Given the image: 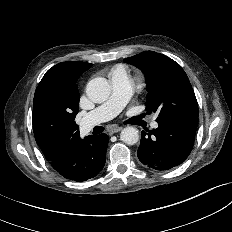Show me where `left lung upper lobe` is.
<instances>
[{"instance_id":"obj_1","label":"left lung upper lobe","mask_w":232,"mask_h":232,"mask_svg":"<svg viewBox=\"0 0 232 232\" xmlns=\"http://www.w3.org/2000/svg\"><path fill=\"white\" fill-rule=\"evenodd\" d=\"M146 77V110L157 112V120L167 116L198 117V105L189 79L182 67L171 58L145 51L126 58Z\"/></svg>"}]
</instances>
